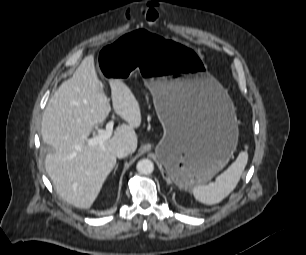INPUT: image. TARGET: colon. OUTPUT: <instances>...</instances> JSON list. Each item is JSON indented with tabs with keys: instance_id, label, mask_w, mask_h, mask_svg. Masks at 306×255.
<instances>
[{
	"instance_id": "obj_1",
	"label": "colon",
	"mask_w": 306,
	"mask_h": 255,
	"mask_svg": "<svg viewBox=\"0 0 306 255\" xmlns=\"http://www.w3.org/2000/svg\"><path fill=\"white\" fill-rule=\"evenodd\" d=\"M143 16L147 20L148 23L155 24L157 23L159 19L160 11L158 8L149 7V8L144 9Z\"/></svg>"
}]
</instances>
